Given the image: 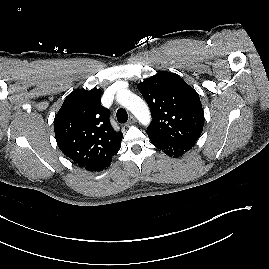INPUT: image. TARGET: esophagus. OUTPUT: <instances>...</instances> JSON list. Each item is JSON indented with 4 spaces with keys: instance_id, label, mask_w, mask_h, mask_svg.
I'll use <instances>...</instances> for the list:
<instances>
[{
    "instance_id": "1",
    "label": "esophagus",
    "mask_w": 269,
    "mask_h": 269,
    "mask_svg": "<svg viewBox=\"0 0 269 269\" xmlns=\"http://www.w3.org/2000/svg\"><path fill=\"white\" fill-rule=\"evenodd\" d=\"M135 122H136V118L133 115H131L126 125L130 126V125H133Z\"/></svg>"
}]
</instances>
